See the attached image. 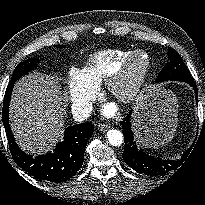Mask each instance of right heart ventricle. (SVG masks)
Segmentation results:
<instances>
[{"instance_id":"right-heart-ventricle-1","label":"right heart ventricle","mask_w":205,"mask_h":205,"mask_svg":"<svg viewBox=\"0 0 205 205\" xmlns=\"http://www.w3.org/2000/svg\"><path fill=\"white\" fill-rule=\"evenodd\" d=\"M133 51L135 50L107 49L98 51L86 61L80 73L88 84L98 87Z\"/></svg>"}]
</instances>
